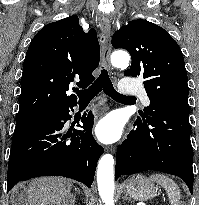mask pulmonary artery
<instances>
[{
	"mask_svg": "<svg viewBox=\"0 0 199 205\" xmlns=\"http://www.w3.org/2000/svg\"><path fill=\"white\" fill-rule=\"evenodd\" d=\"M125 84H126V82H123V84L121 85L122 92H124L126 94L138 95L144 105L147 106L150 104V100H149L146 92L144 91V89L139 88V87H135V86H127Z\"/></svg>",
	"mask_w": 199,
	"mask_h": 205,
	"instance_id": "e3ab8cb5",
	"label": "pulmonary artery"
}]
</instances>
